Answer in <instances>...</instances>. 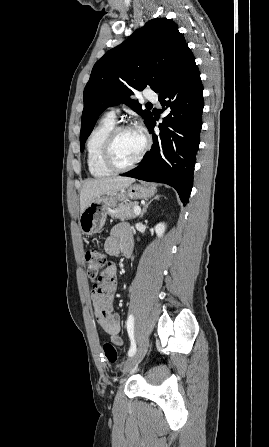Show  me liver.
I'll list each match as a JSON object with an SVG mask.
<instances>
[{"label": "liver", "mask_w": 269, "mask_h": 447, "mask_svg": "<svg viewBox=\"0 0 269 447\" xmlns=\"http://www.w3.org/2000/svg\"><path fill=\"white\" fill-rule=\"evenodd\" d=\"M135 182L134 178H98V180H86L80 194V214H83L88 204L103 196V194H111L118 192L122 188H128Z\"/></svg>", "instance_id": "obj_1"}]
</instances>
